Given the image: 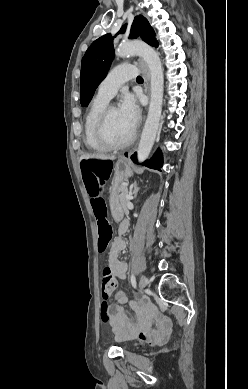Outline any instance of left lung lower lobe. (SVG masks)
<instances>
[{
  "label": "left lung lower lobe",
  "instance_id": "0a47b994",
  "mask_svg": "<svg viewBox=\"0 0 248 389\" xmlns=\"http://www.w3.org/2000/svg\"><path fill=\"white\" fill-rule=\"evenodd\" d=\"M125 155L127 156V154H125ZM130 158H131V160L134 163H137V154H136V152L134 154H132L130 156ZM162 163H163V159H162L161 151L157 150L156 153L153 155V157L150 160H147V161H145L142 164L144 166L148 167V168L161 171L160 168L162 167Z\"/></svg>",
  "mask_w": 248,
  "mask_h": 389
}]
</instances>
